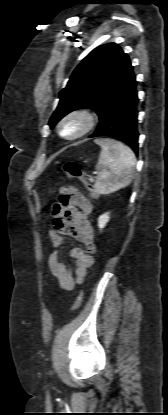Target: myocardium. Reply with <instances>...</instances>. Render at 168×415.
I'll return each mask as SVG.
<instances>
[{
    "instance_id": "f54148a6",
    "label": "myocardium",
    "mask_w": 168,
    "mask_h": 415,
    "mask_svg": "<svg viewBox=\"0 0 168 415\" xmlns=\"http://www.w3.org/2000/svg\"><path fill=\"white\" fill-rule=\"evenodd\" d=\"M71 118L81 119L83 122V126L81 130L78 131L76 134L71 135V136H65L62 133V126L67 120ZM96 124H97L96 113L90 108L81 107V108L72 109L68 111L67 113H65L58 122L57 130H58V134L60 137H62L65 140L72 141V140L80 139L84 137L85 135H87L88 133H90L94 129Z\"/></svg>"
}]
</instances>
